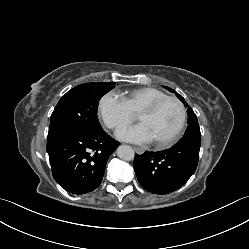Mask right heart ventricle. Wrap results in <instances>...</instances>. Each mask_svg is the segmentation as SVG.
Segmentation results:
<instances>
[{
	"label": "right heart ventricle",
	"instance_id": "e07e8e85",
	"mask_svg": "<svg viewBox=\"0 0 249 249\" xmlns=\"http://www.w3.org/2000/svg\"><path fill=\"white\" fill-rule=\"evenodd\" d=\"M164 96H167V94L161 90L142 87L125 92L122 95V100L132 113H138L147 104Z\"/></svg>",
	"mask_w": 249,
	"mask_h": 249
}]
</instances>
